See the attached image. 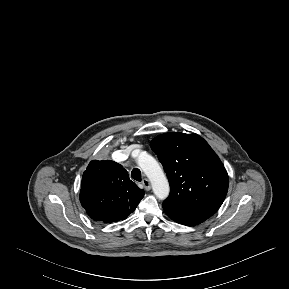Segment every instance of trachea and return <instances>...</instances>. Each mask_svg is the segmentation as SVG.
<instances>
[{
  "instance_id": "3493384b",
  "label": "trachea",
  "mask_w": 289,
  "mask_h": 289,
  "mask_svg": "<svg viewBox=\"0 0 289 289\" xmlns=\"http://www.w3.org/2000/svg\"><path fill=\"white\" fill-rule=\"evenodd\" d=\"M131 177L136 181H141V171L138 168H134L131 172Z\"/></svg>"
}]
</instances>
